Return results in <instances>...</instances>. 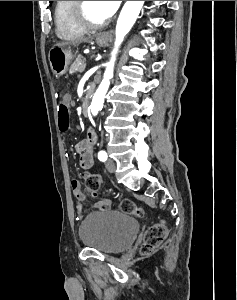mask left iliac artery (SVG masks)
Returning a JSON list of instances; mask_svg holds the SVG:
<instances>
[{
	"instance_id": "1",
	"label": "left iliac artery",
	"mask_w": 237,
	"mask_h": 300,
	"mask_svg": "<svg viewBox=\"0 0 237 300\" xmlns=\"http://www.w3.org/2000/svg\"><path fill=\"white\" fill-rule=\"evenodd\" d=\"M108 156L107 153L105 151H100L98 153V159L102 162H105L107 160Z\"/></svg>"
}]
</instances>
